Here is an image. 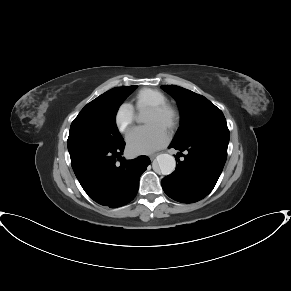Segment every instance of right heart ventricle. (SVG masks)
I'll return each instance as SVG.
<instances>
[{"instance_id": "e07e8e85", "label": "right heart ventricle", "mask_w": 291, "mask_h": 291, "mask_svg": "<svg viewBox=\"0 0 291 291\" xmlns=\"http://www.w3.org/2000/svg\"><path fill=\"white\" fill-rule=\"evenodd\" d=\"M166 102L167 98L161 91L152 88H143L134 96L132 107L141 111L152 105L165 104Z\"/></svg>"}]
</instances>
